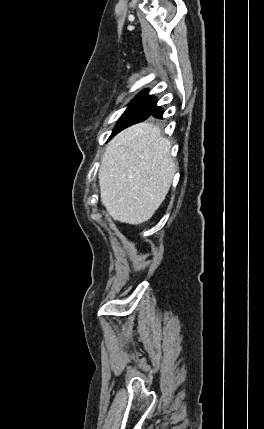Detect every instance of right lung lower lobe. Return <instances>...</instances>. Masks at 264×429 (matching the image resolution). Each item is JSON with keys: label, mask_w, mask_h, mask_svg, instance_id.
I'll return each instance as SVG.
<instances>
[{"label": "right lung lower lobe", "mask_w": 264, "mask_h": 429, "mask_svg": "<svg viewBox=\"0 0 264 429\" xmlns=\"http://www.w3.org/2000/svg\"><path fill=\"white\" fill-rule=\"evenodd\" d=\"M162 114H163V110L161 108L157 107L156 104H155L154 107L152 108L151 112L149 113L148 117L154 116V117H157V118H162ZM136 123H138V122H136Z\"/></svg>", "instance_id": "98d812e1"}]
</instances>
